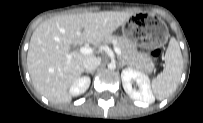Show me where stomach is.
<instances>
[{"instance_id": "stomach-1", "label": "stomach", "mask_w": 203, "mask_h": 123, "mask_svg": "<svg viewBox=\"0 0 203 123\" xmlns=\"http://www.w3.org/2000/svg\"><path fill=\"white\" fill-rule=\"evenodd\" d=\"M123 36L133 44H140L147 48L162 47L169 38L165 24L151 15L143 20H133L122 26Z\"/></svg>"}]
</instances>
